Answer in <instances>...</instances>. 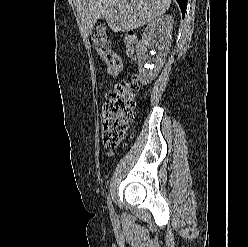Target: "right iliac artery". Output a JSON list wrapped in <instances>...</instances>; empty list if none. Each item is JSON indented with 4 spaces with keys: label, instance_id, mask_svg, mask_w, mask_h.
<instances>
[{
    "label": "right iliac artery",
    "instance_id": "1",
    "mask_svg": "<svg viewBox=\"0 0 248 247\" xmlns=\"http://www.w3.org/2000/svg\"><path fill=\"white\" fill-rule=\"evenodd\" d=\"M107 204H108V208L110 210L111 215H114V208H113L110 196L107 197Z\"/></svg>",
    "mask_w": 248,
    "mask_h": 247
}]
</instances>
